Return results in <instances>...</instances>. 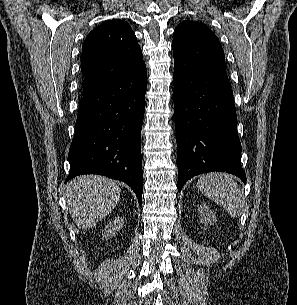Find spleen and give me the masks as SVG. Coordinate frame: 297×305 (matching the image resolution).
<instances>
[{"instance_id":"1","label":"spleen","mask_w":297,"mask_h":305,"mask_svg":"<svg viewBox=\"0 0 297 305\" xmlns=\"http://www.w3.org/2000/svg\"><path fill=\"white\" fill-rule=\"evenodd\" d=\"M198 189L208 198L223 206L234 218L243 208V199L238 184L226 173H209L199 178Z\"/></svg>"}]
</instances>
